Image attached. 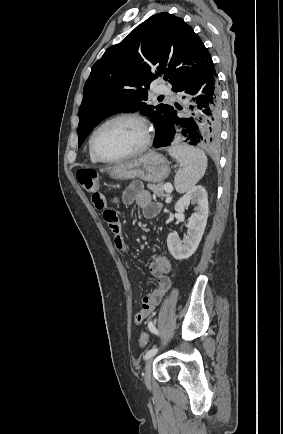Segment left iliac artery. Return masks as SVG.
I'll return each mask as SVG.
<instances>
[{"instance_id": "44dca946", "label": "left iliac artery", "mask_w": 283, "mask_h": 434, "mask_svg": "<svg viewBox=\"0 0 283 434\" xmlns=\"http://www.w3.org/2000/svg\"><path fill=\"white\" fill-rule=\"evenodd\" d=\"M148 326H149V329H150L153 333L158 334V330L154 327V325H153L152 322H150ZM157 351H158L157 348H152V349H150L149 351H147V353H146L145 356H144L145 360H147V359H149L150 357H152L153 355H155V354L157 353Z\"/></svg>"}]
</instances>
